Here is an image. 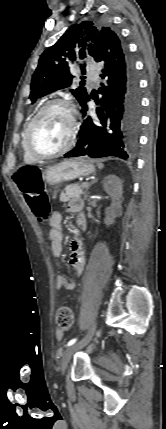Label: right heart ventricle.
I'll return each instance as SVG.
<instances>
[{
  "label": "right heart ventricle",
  "instance_id": "obj_1",
  "mask_svg": "<svg viewBox=\"0 0 166 429\" xmlns=\"http://www.w3.org/2000/svg\"><path fill=\"white\" fill-rule=\"evenodd\" d=\"M31 120L27 123V125L24 127V130H23V138H22L23 159L27 163H36V162H38V160L33 158L25 148V135H26V132H27V129H28V126H29Z\"/></svg>",
  "mask_w": 166,
  "mask_h": 429
}]
</instances>
